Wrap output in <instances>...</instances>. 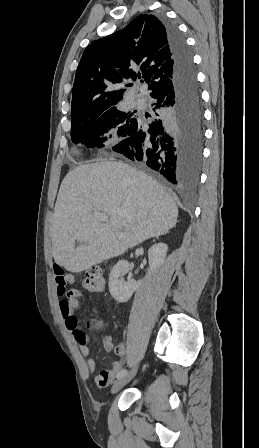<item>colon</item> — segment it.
Instances as JSON below:
<instances>
[{
    "mask_svg": "<svg viewBox=\"0 0 259 448\" xmlns=\"http://www.w3.org/2000/svg\"><path fill=\"white\" fill-rule=\"evenodd\" d=\"M82 285L90 293L101 294L106 289V281L101 271L97 268H91L86 271Z\"/></svg>",
    "mask_w": 259,
    "mask_h": 448,
    "instance_id": "colon-1",
    "label": "colon"
}]
</instances>
